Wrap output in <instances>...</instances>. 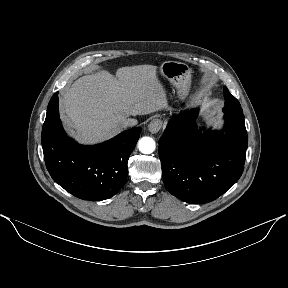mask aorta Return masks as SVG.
<instances>
[{
  "label": "aorta",
  "instance_id": "aorta-1",
  "mask_svg": "<svg viewBox=\"0 0 288 288\" xmlns=\"http://www.w3.org/2000/svg\"><path fill=\"white\" fill-rule=\"evenodd\" d=\"M156 147L155 141L150 137H143L139 140L138 148L143 154H151Z\"/></svg>",
  "mask_w": 288,
  "mask_h": 288
}]
</instances>
